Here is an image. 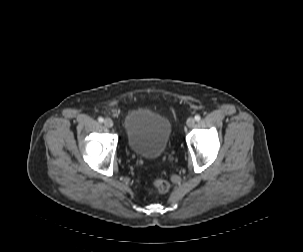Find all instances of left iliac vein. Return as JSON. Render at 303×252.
Instances as JSON below:
<instances>
[{
	"instance_id": "left-iliac-vein-1",
	"label": "left iliac vein",
	"mask_w": 303,
	"mask_h": 252,
	"mask_svg": "<svg viewBox=\"0 0 303 252\" xmlns=\"http://www.w3.org/2000/svg\"><path fill=\"white\" fill-rule=\"evenodd\" d=\"M195 123H196V121H195V119H194L193 117H190V118L187 119V126H188L189 128L194 127V126H195Z\"/></svg>"
}]
</instances>
